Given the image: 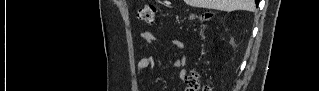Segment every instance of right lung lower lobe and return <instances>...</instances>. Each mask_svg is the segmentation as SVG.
Wrapping results in <instances>:
<instances>
[{"instance_id":"obj_1","label":"right lung lower lobe","mask_w":319,"mask_h":91,"mask_svg":"<svg viewBox=\"0 0 319 91\" xmlns=\"http://www.w3.org/2000/svg\"><path fill=\"white\" fill-rule=\"evenodd\" d=\"M255 2H256V5L258 6L259 0H255Z\"/></svg>"}]
</instances>
